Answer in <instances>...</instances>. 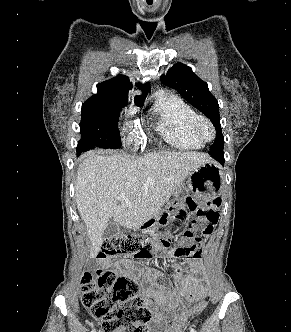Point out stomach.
I'll use <instances>...</instances> for the list:
<instances>
[{
	"instance_id": "0dacf381",
	"label": "stomach",
	"mask_w": 291,
	"mask_h": 332,
	"mask_svg": "<svg viewBox=\"0 0 291 332\" xmlns=\"http://www.w3.org/2000/svg\"><path fill=\"white\" fill-rule=\"evenodd\" d=\"M223 186V173L213 162H207L199 165L189 175L186 189L191 194L201 200H210L221 194ZM182 189L176 190L173 194L174 200L153 218H151L144 227L154 229L169 222L171 215L177 209L187 208L185 198L181 196Z\"/></svg>"
}]
</instances>
